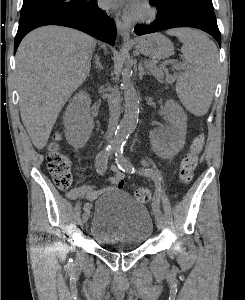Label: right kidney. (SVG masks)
I'll list each match as a JSON object with an SVG mask.
<instances>
[{
    "label": "right kidney",
    "mask_w": 245,
    "mask_h": 300,
    "mask_svg": "<svg viewBox=\"0 0 245 300\" xmlns=\"http://www.w3.org/2000/svg\"><path fill=\"white\" fill-rule=\"evenodd\" d=\"M91 100L89 95L81 91L70 101L64 117L65 136L75 149L82 148L89 140L94 128L90 114Z\"/></svg>",
    "instance_id": "1"
}]
</instances>
